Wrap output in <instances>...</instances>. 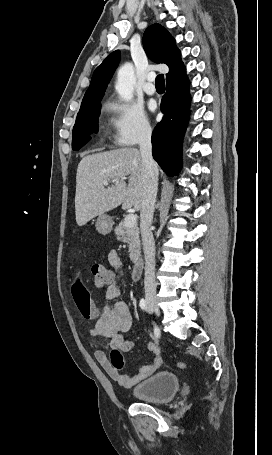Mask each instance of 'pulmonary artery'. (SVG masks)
Masks as SVG:
<instances>
[{
    "label": "pulmonary artery",
    "instance_id": "e3ab8cb5",
    "mask_svg": "<svg viewBox=\"0 0 272 455\" xmlns=\"http://www.w3.org/2000/svg\"><path fill=\"white\" fill-rule=\"evenodd\" d=\"M154 79H155L154 75H152V74L148 75L147 81L143 85V90L148 95H153L156 92L155 85L153 84Z\"/></svg>",
    "mask_w": 272,
    "mask_h": 455
}]
</instances>
